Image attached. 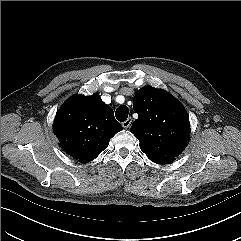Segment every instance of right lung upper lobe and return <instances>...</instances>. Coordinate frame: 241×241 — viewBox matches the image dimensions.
<instances>
[{"mask_svg":"<svg viewBox=\"0 0 241 241\" xmlns=\"http://www.w3.org/2000/svg\"><path fill=\"white\" fill-rule=\"evenodd\" d=\"M54 132L61 148L80 162L94 160L122 129L98 94L70 98L58 111Z\"/></svg>","mask_w":241,"mask_h":241,"instance_id":"obj_1","label":"right lung upper lobe"}]
</instances>
